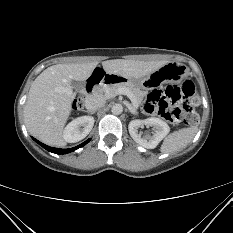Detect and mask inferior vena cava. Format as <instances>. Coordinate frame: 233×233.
<instances>
[{"instance_id":"1","label":"inferior vena cava","mask_w":233,"mask_h":233,"mask_svg":"<svg viewBox=\"0 0 233 233\" xmlns=\"http://www.w3.org/2000/svg\"><path fill=\"white\" fill-rule=\"evenodd\" d=\"M105 98L98 94H90L85 98V107L89 111H95L105 105Z\"/></svg>"}]
</instances>
